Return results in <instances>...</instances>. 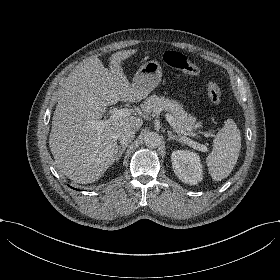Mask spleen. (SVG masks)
I'll return each instance as SVG.
<instances>
[{
  "label": "spleen",
  "mask_w": 280,
  "mask_h": 280,
  "mask_svg": "<svg viewBox=\"0 0 280 280\" xmlns=\"http://www.w3.org/2000/svg\"><path fill=\"white\" fill-rule=\"evenodd\" d=\"M241 149V135L236 123L228 119L213 140V152L207 159L209 174L220 181L233 170Z\"/></svg>",
  "instance_id": "3e777b00"
}]
</instances>
